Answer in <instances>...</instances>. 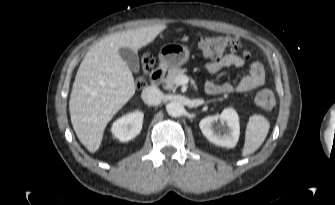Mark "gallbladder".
Masks as SVG:
<instances>
[{
    "instance_id": "obj_1",
    "label": "gallbladder",
    "mask_w": 335,
    "mask_h": 205,
    "mask_svg": "<svg viewBox=\"0 0 335 205\" xmlns=\"http://www.w3.org/2000/svg\"><path fill=\"white\" fill-rule=\"evenodd\" d=\"M119 54L131 71L138 73L140 71L139 57L134 49L121 47Z\"/></svg>"
}]
</instances>
